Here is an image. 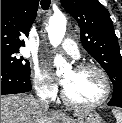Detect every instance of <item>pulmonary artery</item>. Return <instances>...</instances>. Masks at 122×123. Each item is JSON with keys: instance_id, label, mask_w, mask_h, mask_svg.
<instances>
[{"instance_id": "pulmonary-artery-1", "label": "pulmonary artery", "mask_w": 122, "mask_h": 123, "mask_svg": "<svg viewBox=\"0 0 122 123\" xmlns=\"http://www.w3.org/2000/svg\"><path fill=\"white\" fill-rule=\"evenodd\" d=\"M62 47L69 55H71L74 58H79V48L75 41L72 39L66 38L62 42Z\"/></svg>"}]
</instances>
